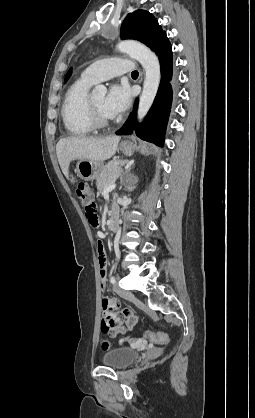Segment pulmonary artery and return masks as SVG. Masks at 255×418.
I'll return each mask as SVG.
<instances>
[{"mask_svg": "<svg viewBox=\"0 0 255 418\" xmlns=\"http://www.w3.org/2000/svg\"><path fill=\"white\" fill-rule=\"evenodd\" d=\"M134 68V62L129 59L108 58L91 64L84 70L82 76L92 83H97L130 72Z\"/></svg>", "mask_w": 255, "mask_h": 418, "instance_id": "e3ab8cb5", "label": "pulmonary artery"}]
</instances>
